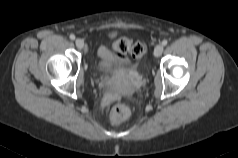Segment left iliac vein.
I'll return each mask as SVG.
<instances>
[{
  "label": "left iliac vein",
  "mask_w": 238,
  "mask_h": 158,
  "mask_svg": "<svg viewBox=\"0 0 238 158\" xmlns=\"http://www.w3.org/2000/svg\"><path fill=\"white\" fill-rule=\"evenodd\" d=\"M163 49H164L163 45H162V44H158V45L155 47V49H154V55H155L156 57H159V56L162 54Z\"/></svg>",
  "instance_id": "1"
}]
</instances>
